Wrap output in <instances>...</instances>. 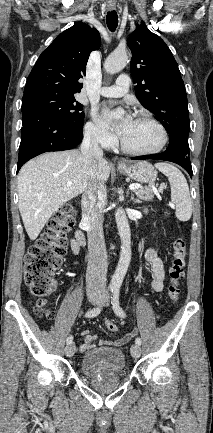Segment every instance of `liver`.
Returning <instances> with one entry per match:
<instances>
[{
	"label": "liver",
	"instance_id": "1",
	"mask_svg": "<svg viewBox=\"0 0 213 433\" xmlns=\"http://www.w3.org/2000/svg\"><path fill=\"white\" fill-rule=\"evenodd\" d=\"M109 175L105 159L93 162L78 150L45 153L28 161L18 174V206L29 238L35 240L52 214L92 181L104 184Z\"/></svg>",
	"mask_w": 213,
	"mask_h": 433
}]
</instances>
